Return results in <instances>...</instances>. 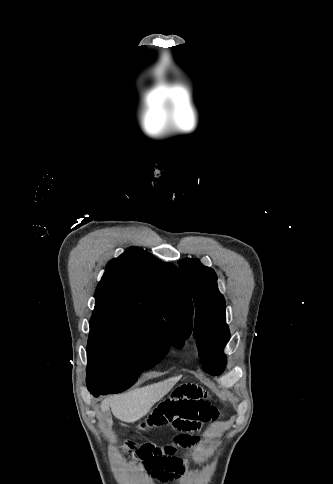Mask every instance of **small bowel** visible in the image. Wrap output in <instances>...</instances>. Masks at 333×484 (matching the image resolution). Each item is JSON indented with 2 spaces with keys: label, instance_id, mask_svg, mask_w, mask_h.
Here are the masks:
<instances>
[{
  "label": "small bowel",
  "instance_id": "obj_1",
  "mask_svg": "<svg viewBox=\"0 0 333 484\" xmlns=\"http://www.w3.org/2000/svg\"><path fill=\"white\" fill-rule=\"evenodd\" d=\"M219 410L210 401V394L194 383H182L175 387L165 399L160 401L139 428L160 429L170 426L177 431L165 454H161L153 444H144L136 451L143 467L160 481H170L181 475L184 461L176 456L175 446L189 447L199 442L194 434L202 423L214 421ZM130 448L133 443H129Z\"/></svg>",
  "mask_w": 333,
  "mask_h": 484
}]
</instances>
